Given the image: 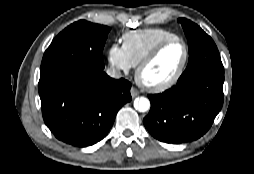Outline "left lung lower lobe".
I'll return each mask as SVG.
<instances>
[{"mask_svg":"<svg viewBox=\"0 0 254 174\" xmlns=\"http://www.w3.org/2000/svg\"><path fill=\"white\" fill-rule=\"evenodd\" d=\"M224 72L206 71L163 93L148 95L149 114L143 123L156 139L180 144L197 140L211 127L223 105Z\"/></svg>","mask_w":254,"mask_h":174,"instance_id":"left-lung-lower-lobe-1","label":"left lung lower lobe"}]
</instances>
